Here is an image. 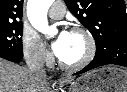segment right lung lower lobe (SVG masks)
<instances>
[{
  "instance_id": "obj_1",
  "label": "right lung lower lobe",
  "mask_w": 127,
  "mask_h": 92,
  "mask_svg": "<svg viewBox=\"0 0 127 92\" xmlns=\"http://www.w3.org/2000/svg\"><path fill=\"white\" fill-rule=\"evenodd\" d=\"M0 57L12 62H18L23 57V52H14L0 47Z\"/></svg>"
}]
</instances>
